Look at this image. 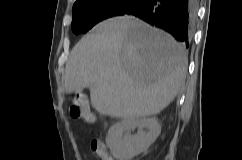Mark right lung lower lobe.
Returning a JSON list of instances; mask_svg holds the SVG:
<instances>
[{
	"mask_svg": "<svg viewBox=\"0 0 242 160\" xmlns=\"http://www.w3.org/2000/svg\"><path fill=\"white\" fill-rule=\"evenodd\" d=\"M196 12L197 0H143L124 15L138 17L159 27L188 47Z\"/></svg>",
	"mask_w": 242,
	"mask_h": 160,
	"instance_id": "98d812e1",
	"label": "right lung lower lobe"
}]
</instances>
